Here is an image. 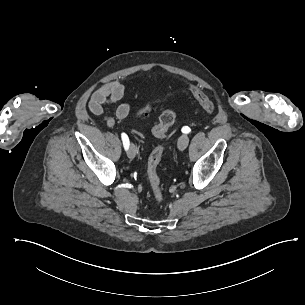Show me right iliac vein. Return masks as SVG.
<instances>
[{"mask_svg":"<svg viewBox=\"0 0 305 305\" xmlns=\"http://www.w3.org/2000/svg\"><path fill=\"white\" fill-rule=\"evenodd\" d=\"M136 156V148L134 144H130L128 149V157L133 159Z\"/></svg>","mask_w":305,"mask_h":305,"instance_id":"63e3f726","label":"right iliac vein"}]
</instances>
